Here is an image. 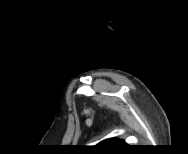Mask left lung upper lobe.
<instances>
[{
  "instance_id": "1",
  "label": "left lung upper lobe",
  "mask_w": 188,
  "mask_h": 154,
  "mask_svg": "<svg viewBox=\"0 0 188 154\" xmlns=\"http://www.w3.org/2000/svg\"><path fill=\"white\" fill-rule=\"evenodd\" d=\"M97 146L108 147V148H123V147H126L127 145L123 140L111 138V139L102 141Z\"/></svg>"
}]
</instances>
